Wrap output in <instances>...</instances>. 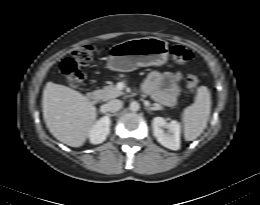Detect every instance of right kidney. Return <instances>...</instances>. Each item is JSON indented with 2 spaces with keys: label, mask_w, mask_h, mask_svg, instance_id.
I'll return each mask as SVG.
<instances>
[{
  "label": "right kidney",
  "mask_w": 260,
  "mask_h": 205,
  "mask_svg": "<svg viewBox=\"0 0 260 205\" xmlns=\"http://www.w3.org/2000/svg\"><path fill=\"white\" fill-rule=\"evenodd\" d=\"M111 120L108 116L100 118L89 132V140L92 144H99L106 140L110 132Z\"/></svg>",
  "instance_id": "obj_1"
}]
</instances>
